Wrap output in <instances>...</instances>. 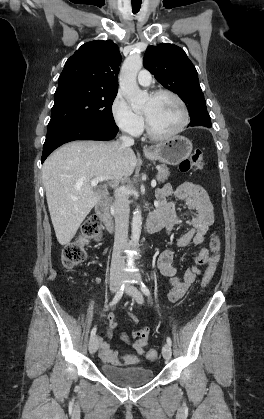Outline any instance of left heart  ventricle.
I'll use <instances>...</instances> for the list:
<instances>
[{"label": "left heart ventricle", "mask_w": 264, "mask_h": 419, "mask_svg": "<svg viewBox=\"0 0 264 419\" xmlns=\"http://www.w3.org/2000/svg\"><path fill=\"white\" fill-rule=\"evenodd\" d=\"M142 113L147 117L152 129L159 134L173 131L182 120V113L178 103L167 95L157 98L149 97L142 109Z\"/></svg>", "instance_id": "b2bd125f"}]
</instances>
